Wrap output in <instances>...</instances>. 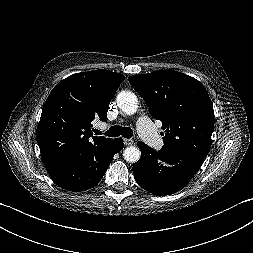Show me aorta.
Segmentation results:
<instances>
[{
  "label": "aorta",
  "mask_w": 253,
  "mask_h": 253,
  "mask_svg": "<svg viewBox=\"0 0 253 253\" xmlns=\"http://www.w3.org/2000/svg\"><path fill=\"white\" fill-rule=\"evenodd\" d=\"M117 105L127 115L134 114L138 109L137 96L130 91H121L116 98ZM141 152L139 148L130 146L123 152V157L127 162H137L140 159Z\"/></svg>",
  "instance_id": "762f6f07"
}]
</instances>
